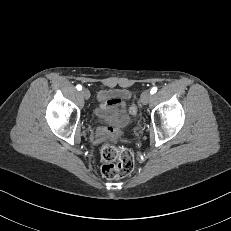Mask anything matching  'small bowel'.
Instances as JSON below:
<instances>
[{"mask_svg":"<svg viewBox=\"0 0 231 231\" xmlns=\"http://www.w3.org/2000/svg\"><path fill=\"white\" fill-rule=\"evenodd\" d=\"M120 106L123 105V103H118ZM98 132L100 135L105 136H118L121 132V129L117 125H102L98 128Z\"/></svg>","mask_w":231,"mask_h":231,"instance_id":"1","label":"small bowel"}]
</instances>
